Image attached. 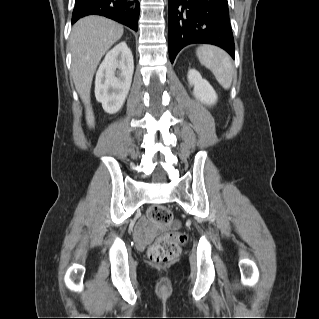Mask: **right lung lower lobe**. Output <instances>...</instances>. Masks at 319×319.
Listing matches in <instances>:
<instances>
[{
	"mask_svg": "<svg viewBox=\"0 0 319 319\" xmlns=\"http://www.w3.org/2000/svg\"><path fill=\"white\" fill-rule=\"evenodd\" d=\"M139 12L140 7L137 0H75L72 24L88 15H100L137 31Z\"/></svg>",
	"mask_w": 319,
	"mask_h": 319,
	"instance_id": "right-lung-lower-lobe-1",
	"label": "right lung lower lobe"
}]
</instances>
